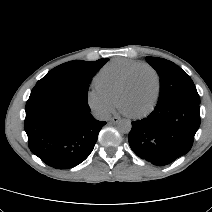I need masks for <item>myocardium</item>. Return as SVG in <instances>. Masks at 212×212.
<instances>
[{"instance_id":"myocardium-1","label":"myocardium","mask_w":212,"mask_h":212,"mask_svg":"<svg viewBox=\"0 0 212 212\" xmlns=\"http://www.w3.org/2000/svg\"><path fill=\"white\" fill-rule=\"evenodd\" d=\"M142 69H147L153 74V76L155 78V82H156V90H155V95H154L153 101L147 109H145L144 111H142L140 113L129 114L132 118H136V119L143 118V117L149 115L154 110V108L156 107V105L158 103L160 93H161V78H160V75L157 72V70L149 64H141V65L135 67L134 69H132L130 71V73L128 74V76L126 77V79L124 80L122 85L120 86L118 93H117V101H118V103H120L121 96L128 89L130 84L132 83L135 74Z\"/></svg>"}]
</instances>
